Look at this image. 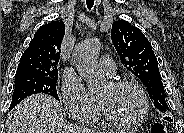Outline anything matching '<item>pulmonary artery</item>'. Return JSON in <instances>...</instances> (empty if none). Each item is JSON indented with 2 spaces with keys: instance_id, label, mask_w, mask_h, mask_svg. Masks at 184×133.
Returning a JSON list of instances; mask_svg holds the SVG:
<instances>
[{
  "instance_id": "obj_1",
  "label": "pulmonary artery",
  "mask_w": 184,
  "mask_h": 133,
  "mask_svg": "<svg viewBox=\"0 0 184 133\" xmlns=\"http://www.w3.org/2000/svg\"><path fill=\"white\" fill-rule=\"evenodd\" d=\"M98 68L108 76H112L116 72L114 60L109 56H102L100 58Z\"/></svg>"
}]
</instances>
